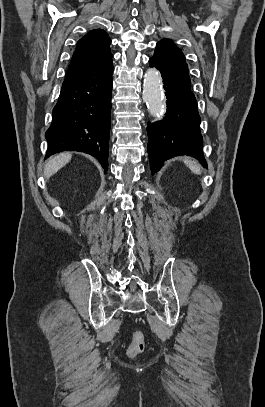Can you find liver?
<instances>
[{"mask_svg":"<svg viewBox=\"0 0 265 407\" xmlns=\"http://www.w3.org/2000/svg\"><path fill=\"white\" fill-rule=\"evenodd\" d=\"M71 157V153H60L49 159L44 168L45 178L49 179L58 170L64 167L71 160Z\"/></svg>","mask_w":265,"mask_h":407,"instance_id":"1","label":"liver"}]
</instances>
